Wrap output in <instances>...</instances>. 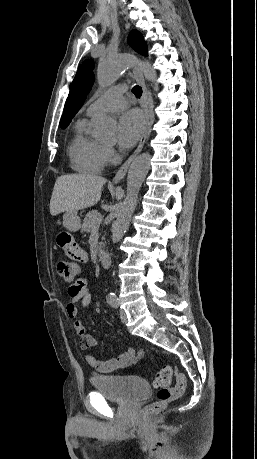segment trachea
Segmentation results:
<instances>
[{"mask_svg":"<svg viewBox=\"0 0 257 459\" xmlns=\"http://www.w3.org/2000/svg\"><path fill=\"white\" fill-rule=\"evenodd\" d=\"M132 92L137 98H139L142 95V88L140 86L136 85V86H134L132 88Z\"/></svg>","mask_w":257,"mask_h":459,"instance_id":"trachea-1","label":"trachea"}]
</instances>
